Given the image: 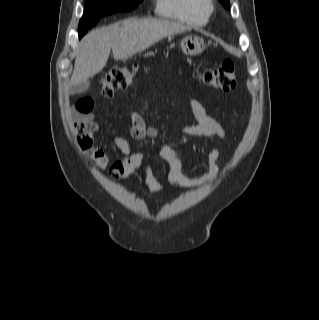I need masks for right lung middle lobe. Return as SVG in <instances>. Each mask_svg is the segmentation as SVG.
Returning <instances> with one entry per match:
<instances>
[{"mask_svg":"<svg viewBox=\"0 0 319 320\" xmlns=\"http://www.w3.org/2000/svg\"><path fill=\"white\" fill-rule=\"evenodd\" d=\"M141 2L142 0H85L84 13L78 28L79 38L93 27L102 16L133 10Z\"/></svg>","mask_w":319,"mask_h":320,"instance_id":"obj_1","label":"right lung middle lobe"}]
</instances>
